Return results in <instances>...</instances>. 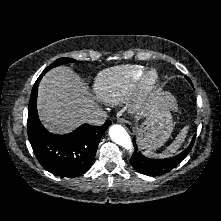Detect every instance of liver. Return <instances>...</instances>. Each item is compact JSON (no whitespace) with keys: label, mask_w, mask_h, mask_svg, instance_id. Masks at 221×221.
Returning <instances> with one entry per match:
<instances>
[{"label":"liver","mask_w":221,"mask_h":221,"mask_svg":"<svg viewBox=\"0 0 221 221\" xmlns=\"http://www.w3.org/2000/svg\"><path fill=\"white\" fill-rule=\"evenodd\" d=\"M172 107L176 109L175 100ZM37 109L45 128L65 134L83 123V116L96 109L88 88L78 74L66 66L51 69L38 87Z\"/></svg>","instance_id":"liver-1"}]
</instances>
